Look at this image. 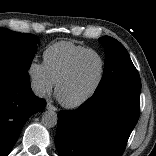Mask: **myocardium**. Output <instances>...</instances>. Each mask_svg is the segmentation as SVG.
Returning <instances> with one entry per match:
<instances>
[{"instance_id": "f54148a6", "label": "myocardium", "mask_w": 156, "mask_h": 156, "mask_svg": "<svg viewBox=\"0 0 156 156\" xmlns=\"http://www.w3.org/2000/svg\"><path fill=\"white\" fill-rule=\"evenodd\" d=\"M89 54H95L101 63V71H100V76L99 79L97 81V83L95 84V86L82 98L74 101V102H65L63 101L60 96H59V91L61 89V87L71 78V76L74 73V70L77 66V64L79 63V61L89 55ZM105 74H106V63L104 60V57L102 56V54L100 52H98L95 49H88L85 50L83 52H81L80 54H78L73 61L70 63L69 67L67 68V70L64 72V74L59 78V80L56 82V87H55V96L57 98V100L59 101V103L61 105H63L66 108L69 109H75L78 107H81L82 105L86 104L88 101H90L99 91V89L101 88L103 81L105 79Z\"/></svg>"}]
</instances>
